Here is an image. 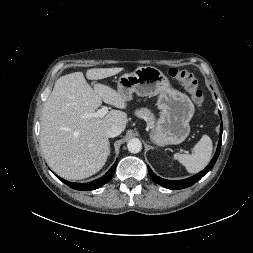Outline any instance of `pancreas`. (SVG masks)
I'll use <instances>...</instances> for the list:
<instances>
[{"instance_id": "1", "label": "pancreas", "mask_w": 253, "mask_h": 253, "mask_svg": "<svg viewBox=\"0 0 253 253\" xmlns=\"http://www.w3.org/2000/svg\"><path fill=\"white\" fill-rule=\"evenodd\" d=\"M135 115L139 118L144 119L150 128L154 126L155 117L149 109L142 108V109L136 110Z\"/></svg>"}]
</instances>
